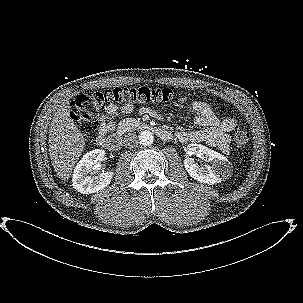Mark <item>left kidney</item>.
<instances>
[{
  "mask_svg": "<svg viewBox=\"0 0 303 303\" xmlns=\"http://www.w3.org/2000/svg\"><path fill=\"white\" fill-rule=\"evenodd\" d=\"M191 154L211 162V165L200 167L193 158L187 157L184 160V166L189 175L197 181L213 185L220 183L231 174V166L228 159L222 154L209 149L201 144H189L187 146Z\"/></svg>",
  "mask_w": 303,
  "mask_h": 303,
  "instance_id": "1",
  "label": "left kidney"
}]
</instances>
